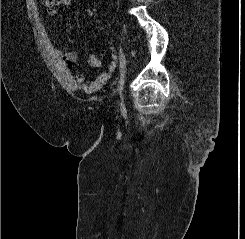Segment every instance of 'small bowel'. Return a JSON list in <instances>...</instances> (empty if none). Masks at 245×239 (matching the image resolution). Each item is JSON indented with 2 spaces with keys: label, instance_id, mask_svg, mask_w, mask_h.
Returning a JSON list of instances; mask_svg holds the SVG:
<instances>
[{
  "label": "small bowel",
  "instance_id": "obj_1",
  "mask_svg": "<svg viewBox=\"0 0 245 239\" xmlns=\"http://www.w3.org/2000/svg\"><path fill=\"white\" fill-rule=\"evenodd\" d=\"M72 0H43L44 6L47 8V12L50 16H55L58 6H69ZM79 13L76 12L77 16ZM57 56L60 60L62 68L70 73L77 60L75 52H64L61 49H56ZM109 57V63L106 68L103 67V58ZM90 66L100 69L98 75L90 80L86 81L85 76L82 73H75L72 78L73 81L80 86V88L86 93H94L99 91L112 77V74L117 67V53L114 49H110L102 53V57L96 54H90L88 58Z\"/></svg>",
  "mask_w": 245,
  "mask_h": 239
}]
</instances>
